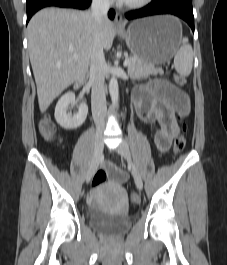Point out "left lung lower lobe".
<instances>
[{
    "instance_id": "obj_1",
    "label": "left lung lower lobe",
    "mask_w": 227,
    "mask_h": 265,
    "mask_svg": "<svg viewBox=\"0 0 227 265\" xmlns=\"http://www.w3.org/2000/svg\"><path fill=\"white\" fill-rule=\"evenodd\" d=\"M156 14H173L185 20L194 32L192 0H153L146 7L128 12L127 19H136Z\"/></svg>"
}]
</instances>
